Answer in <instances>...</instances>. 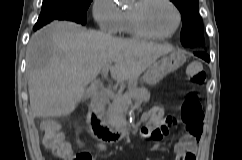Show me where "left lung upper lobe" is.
Masks as SVG:
<instances>
[{"mask_svg":"<svg viewBox=\"0 0 242 160\" xmlns=\"http://www.w3.org/2000/svg\"><path fill=\"white\" fill-rule=\"evenodd\" d=\"M182 16L181 42L185 47L204 49L203 22L198 12V0H171Z\"/></svg>","mask_w":242,"mask_h":160,"instance_id":"obj_1","label":"left lung upper lobe"}]
</instances>
